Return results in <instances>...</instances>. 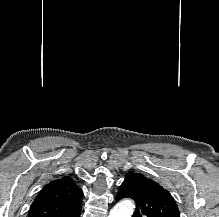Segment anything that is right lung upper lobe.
Returning <instances> with one entry per match:
<instances>
[{"mask_svg": "<svg viewBox=\"0 0 219 217\" xmlns=\"http://www.w3.org/2000/svg\"><path fill=\"white\" fill-rule=\"evenodd\" d=\"M82 196L69 176L51 181L33 201L28 217H79Z\"/></svg>", "mask_w": 219, "mask_h": 217, "instance_id": "cb5924a9", "label": "right lung upper lobe"}]
</instances>
